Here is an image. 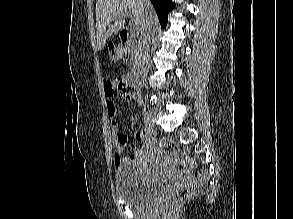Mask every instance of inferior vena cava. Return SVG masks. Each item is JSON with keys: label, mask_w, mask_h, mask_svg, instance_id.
Masks as SVG:
<instances>
[{"label": "inferior vena cava", "mask_w": 293, "mask_h": 219, "mask_svg": "<svg viewBox=\"0 0 293 219\" xmlns=\"http://www.w3.org/2000/svg\"><path fill=\"white\" fill-rule=\"evenodd\" d=\"M145 7L150 8V0H143ZM153 19L146 13L145 25L140 35L139 60L137 65V73L141 77H145L150 69L151 61L149 56V45L152 34Z\"/></svg>", "instance_id": "inferior-vena-cava-1"}]
</instances>
